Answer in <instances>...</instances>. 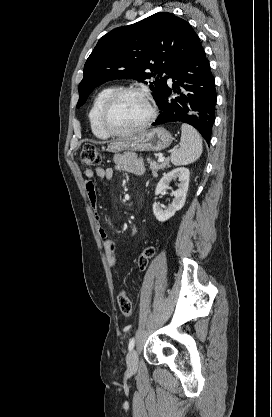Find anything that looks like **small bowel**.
Instances as JSON below:
<instances>
[{"instance_id":"1","label":"small bowel","mask_w":272,"mask_h":417,"mask_svg":"<svg viewBox=\"0 0 272 417\" xmlns=\"http://www.w3.org/2000/svg\"><path fill=\"white\" fill-rule=\"evenodd\" d=\"M114 165L112 167L107 168H89L85 170V188L91 203V206L96 210L97 208V192L96 186L93 182L94 177H98L105 181H110L115 172H126L133 175H141L144 173L145 167L143 161L134 153H124V154H117L113 160ZM96 219L99 220V214L95 213ZM99 235L104 242V246L108 255V263L112 269H116L118 267V263L116 258H113L109 255L108 246L111 242L108 236L106 229L103 226H99L98 228Z\"/></svg>"}]
</instances>
